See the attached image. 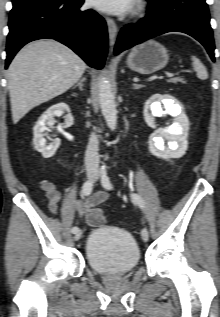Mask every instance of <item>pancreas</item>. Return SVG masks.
Wrapping results in <instances>:
<instances>
[{"label":"pancreas","instance_id":"pancreas-1","mask_svg":"<svg viewBox=\"0 0 220 317\" xmlns=\"http://www.w3.org/2000/svg\"><path fill=\"white\" fill-rule=\"evenodd\" d=\"M169 82H172V83H177V82L184 83L185 81H184L183 78L175 77V78L170 79Z\"/></svg>","mask_w":220,"mask_h":317}]
</instances>
